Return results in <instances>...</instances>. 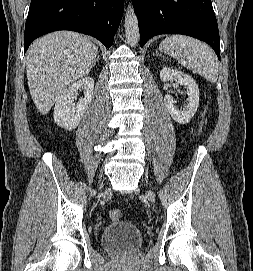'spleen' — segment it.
<instances>
[{"label":"spleen","instance_id":"spleen-1","mask_svg":"<svg viewBox=\"0 0 253 271\" xmlns=\"http://www.w3.org/2000/svg\"><path fill=\"white\" fill-rule=\"evenodd\" d=\"M159 49L191 69L193 73L216 83L219 63L212 49L205 43L184 35H172L160 43Z\"/></svg>","mask_w":253,"mask_h":271}]
</instances>
